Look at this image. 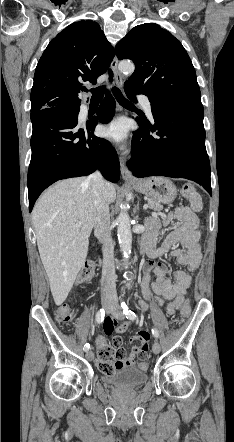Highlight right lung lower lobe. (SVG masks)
I'll return each mask as SVG.
<instances>
[{"mask_svg":"<svg viewBox=\"0 0 234 442\" xmlns=\"http://www.w3.org/2000/svg\"><path fill=\"white\" fill-rule=\"evenodd\" d=\"M80 105L53 107L31 113L32 156L28 169L29 211L42 191L52 183L86 176L99 168L113 182L120 178V163L109 141L93 131L98 122L107 123L114 115L115 100L106 94L97 118L80 126Z\"/></svg>","mask_w":234,"mask_h":442,"instance_id":"right-lung-lower-lobe-1","label":"right lung lower lobe"}]
</instances>
